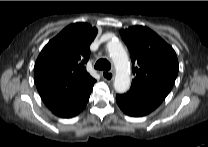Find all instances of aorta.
Listing matches in <instances>:
<instances>
[{
    "mask_svg": "<svg viewBox=\"0 0 208 147\" xmlns=\"http://www.w3.org/2000/svg\"><path fill=\"white\" fill-rule=\"evenodd\" d=\"M107 49L116 69L114 89L118 93H124L131 83L127 52L119 41H110Z\"/></svg>",
    "mask_w": 208,
    "mask_h": 147,
    "instance_id": "1",
    "label": "aorta"
}]
</instances>
